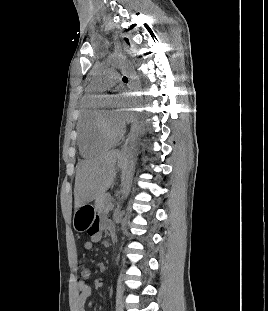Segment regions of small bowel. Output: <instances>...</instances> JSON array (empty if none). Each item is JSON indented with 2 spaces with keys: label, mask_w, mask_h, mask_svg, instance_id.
<instances>
[{
  "label": "small bowel",
  "mask_w": 268,
  "mask_h": 311,
  "mask_svg": "<svg viewBox=\"0 0 268 311\" xmlns=\"http://www.w3.org/2000/svg\"><path fill=\"white\" fill-rule=\"evenodd\" d=\"M112 229H114V225L110 220L104 217L97 218L92 226L88 229L90 239L84 243V248L86 250H92L95 244L101 241L102 232L104 230L111 231ZM77 288L79 294L75 303L76 310L86 311L87 300L93 294L92 287L85 280H80L77 283Z\"/></svg>",
  "instance_id": "1"
}]
</instances>
